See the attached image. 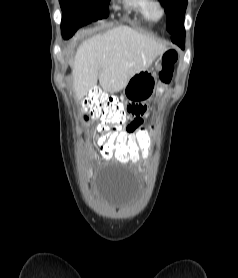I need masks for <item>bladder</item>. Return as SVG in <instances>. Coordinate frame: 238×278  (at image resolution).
Masks as SVG:
<instances>
[{"label":"bladder","instance_id":"31cf9c89","mask_svg":"<svg viewBox=\"0 0 238 278\" xmlns=\"http://www.w3.org/2000/svg\"><path fill=\"white\" fill-rule=\"evenodd\" d=\"M128 174L129 169L109 167L101 175H94V180H138V175ZM95 186H99V191H107L104 196L110 205L123 206L130 200V194L137 193L140 181H95Z\"/></svg>","mask_w":238,"mask_h":278}]
</instances>
